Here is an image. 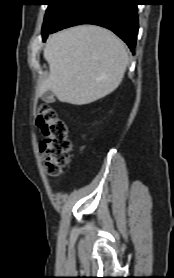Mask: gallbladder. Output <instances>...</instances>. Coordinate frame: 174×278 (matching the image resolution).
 I'll return each instance as SVG.
<instances>
[{
	"instance_id": "obj_1",
	"label": "gallbladder",
	"mask_w": 174,
	"mask_h": 278,
	"mask_svg": "<svg viewBox=\"0 0 174 278\" xmlns=\"http://www.w3.org/2000/svg\"><path fill=\"white\" fill-rule=\"evenodd\" d=\"M42 100L46 103H52L55 101L54 93L51 90H48L42 94Z\"/></svg>"
}]
</instances>
